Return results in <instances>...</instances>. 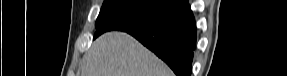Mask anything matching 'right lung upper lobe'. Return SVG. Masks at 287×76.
Listing matches in <instances>:
<instances>
[{"label": "right lung upper lobe", "instance_id": "right-lung-upper-lobe-1", "mask_svg": "<svg viewBox=\"0 0 287 76\" xmlns=\"http://www.w3.org/2000/svg\"><path fill=\"white\" fill-rule=\"evenodd\" d=\"M175 1V3L177 4V3H179L180 1H182V0H174Z\"/></svg>", "mask_w": 287, "mask_h": 76}]
</instances>
